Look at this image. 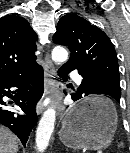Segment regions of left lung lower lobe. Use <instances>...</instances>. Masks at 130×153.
Segmentation results:
<instances>
[{"label":"left lung lower lobe","instance_id":"obj_1","mask_svg":"<svg viewBox=\"0 0 130 153\" xmlns=\"http://www.w3.org/2000/svg\"><path fill=\"white\" fill-rule=\"evenodd\" d=\"M72 70H75V68L71 66H62L58 70V75L64 80H67V74L71 72ZM78 73L83 77L82 83L79 87L80 91L79 93L72 94V99L74 101H77L81 99L83 96H88L90 94H104L113 97L110 95L109 92H107L101 84L94 79V77L87 71H83L80 69H77ZM116 99L118 102H120V99L117 97H113Z\"/></svg>","mask_w":130,"mask_h":153}]
</instances>
